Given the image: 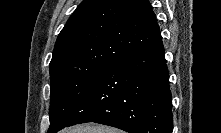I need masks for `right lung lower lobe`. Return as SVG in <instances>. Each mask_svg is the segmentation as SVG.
Returning <instances> with one entry per match:
<instances>
[{
  "label": "right lung lower lobe",
  "instance_id": "obj_1",
  "mask_svg": "<svg viewBox=\"0 0 221 133\" xmlns=\"http://www.w3.org/2000/svg\"><path fill=\"white\" fill-rule=\"evenodd\" d=\"M172 98L163 43L109 66L68 126L95 122L129 133H172Z\"/></svg>",
  "mask_w": 221,
  "mask_h": 133
}]
</instances>
